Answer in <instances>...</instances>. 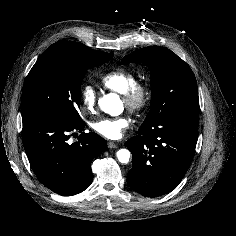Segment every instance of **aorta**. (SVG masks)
<instances>
[{
	"label": "aorta",
	"instance_id": "762f6f07",
	"mask_svg": "<svg viewBox=\"0 0 236 236\" xmlns=\"http://www.w3.org/2000/svg\"><path fill=\"white\" fill-rule=\"evenodd\" d=\"M99 107L103 112L108 113L111 116H117L123 111L122 101L115 93H110L100 98ZM130 155V151L127 149H120L117 152V158L121 163H128Z\"/></svg>",
	"mask_w": 236,
	"mask_h": 236
}]
</instances>
